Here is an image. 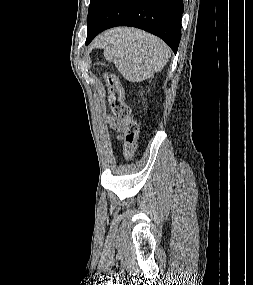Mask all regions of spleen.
Wrapping results in <instances>:
<instances>
[{
  "label": "spleen",
  "instance_id": "3e777b00",
  "mask_svg": "<svg viewBox=\"0 0 253 285\" xmlns=\"http://www.w3.org/2000/svg\"><path fill=\"white\" fill-rule=\"evenodd\" d=\"M116 30L102 40L106 46L104 57L126 80L141 82L163 69L170 49L161 39L139 29Z\"/></svg>",
  "mask_w": 253,
  "mask_h": 285
}]
</instances>
